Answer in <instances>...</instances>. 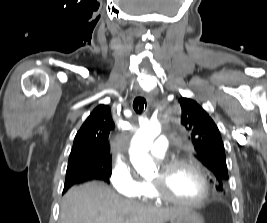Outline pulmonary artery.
Wrapping results in <instances>:
<instances>
[{
	"label": "pulmonary artery",
	"mask_w": 267,
	"mask_h": 223,
	"mask_svg": "<svg viewBox=\"0 0 267 223\" xmlns=\"http://www.w3.org/2000/svg\"><path fill=\"white\" fill-rule=\"evenodd\" d=\"M168 149V139L164 136L156 138L154 144L150 147L149 153L155 157L163 158Z\"/></svg>",
	"instance_id": "pulmonary-artery-1"
}]
</instances>
